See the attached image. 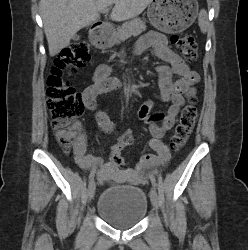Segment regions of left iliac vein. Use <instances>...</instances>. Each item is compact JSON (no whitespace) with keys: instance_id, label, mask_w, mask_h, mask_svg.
Wrapping results in <instances>:
<instances>
[{"instance_id":"obj_1","label":"left iliac vein","mask_w":248,"mask_h":250,"mask_svg":"<svg viewBox=\"0 0 248 250\" xmlns=\"http://www.w3.org/2000/svg\"><path fill=\"white\" fill-rule=\"evenodd\" d=\"M150 199H151V202H152L154 209H158L159 196L157 194V191L154 188H152L150 191Z\"/></svg>"}]
</instances>
